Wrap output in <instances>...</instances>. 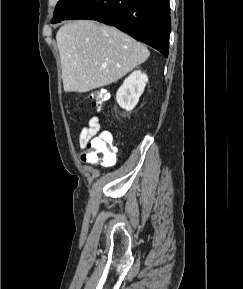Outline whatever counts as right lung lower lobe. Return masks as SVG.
Returning <instances> with one entry per match:
<instances>
[{"label": "right lung lower lobe", "mask_w": 243, "mask_h": 289, "mask_svg": "<svg viewBox=\"0 0 243 289\" xmlns=\"http://www.w3.org/2000/svg\"><path fill=\"white\" fill-rule=\"evenodd\" d=\"M113 25L166 57L169 49V0H83L66 18Z\"/></svg>", "instance_id": "obj_1"}]
</instances>
